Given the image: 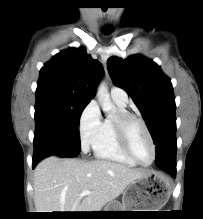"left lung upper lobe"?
I'll use <instances>...</instances> for the list:
<instances>
[{"label":"left lung upper lobe","instance_id":"left-lung-upper-lobe-1","mask_svg":"<svg viewBox=\"0 0 203 219\" xmlns=\"http://www.w3.org/2000/svg\"><path fill=\"white\" fill-rule=\"evenodd\" d=\"M108 69L113 83L130 95L144 117L156 145L155 163L176 154V105L170 79L155 62L138 54L125 60L112 56Z\"/></svg>","mask_w":203,"mask_h":219}]
</instances>
